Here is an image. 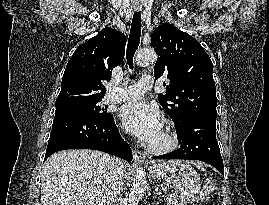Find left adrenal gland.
<instances>
[{
  "mask_svg": "<svg viewBox=\"0 0 269 205\" xmlns=\"http://www.w3.org/2000/svg\"><path fill=\"white\" fill-rule=\"evenodd\" d=\"M158 188H159V186L157 185V186L155 187V192H156V194H161V192H158Z\"/></svg>",
  "mask_w": 269,
  "mask_h": 205,
  "instance_id": "1",
  "label": "left adrenal gland"
}]
</instances>
